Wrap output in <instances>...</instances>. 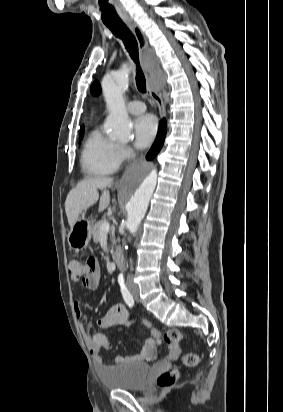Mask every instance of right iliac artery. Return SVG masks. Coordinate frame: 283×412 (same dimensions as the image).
<instances>
[{
  "mask_svg": "<svg viewBox=\"0 0 283 412\" xmlns=\"http://www.w3.org/2000/svg\"><path fill=\"white\" fill-rule=\"evenodd\" d=\"M119 283H120V286H121V292H122V296L124 298V301L126 302V304L129 307H133L134 306L133 296L130 294V292L127 289V287L125 286L123 280H120Z\"/></svg>",
  "mask_w": 283,
  "mask_h": 412,
  "instance_id": "obj_1",
  "label": "right iliac artery"
}]
</instances>
